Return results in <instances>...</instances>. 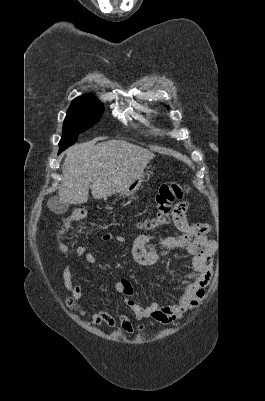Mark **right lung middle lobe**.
I'll list each match as a JSON object with an SVG mask.
<instances>
[{
  "instance_id": "dd1d6c3e",
  "label": "right lung middle lobe",
  "mask_w": 265,
  "mask_h": 401,
  "mask_svg": "<svg viewBox=\"0 0 265 401\" xmlns=\"http://www.w3.org/2000/svg\"><path fill=\"white\" fill-rule=\"evenodd\" d=\"M103 111L102 103L70 106L63 124V136L59 142V153L73 145L80 133L97 123Z\"/></svg>"
}]
</instances>
